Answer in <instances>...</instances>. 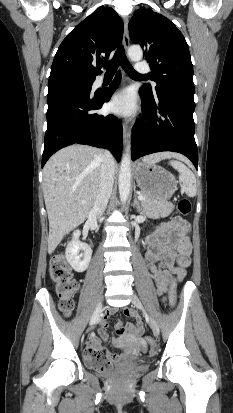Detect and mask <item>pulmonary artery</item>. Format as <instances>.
<instances>
[{
	"label": "pulmonary artery",
	"instance_id": "e3ab8cb5",
	"mask_svg": "<svg viewBox=\"0 0 233 413\" xmlns=\"http://www.w3.org/2000/svg\"><path fill=\"white\" fill-rule=\"evenodd\" d=\"M136 69L139 73H147L148 72V68L145 65L141 64V63L137 64ZM102 82H103V77H100L97 80V83L100 84Z\"/></svg>",
	"mask_w": 233,
	"mask_h": 413
}]
</instances>
